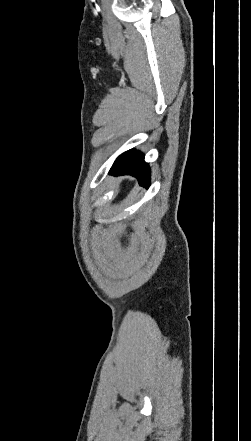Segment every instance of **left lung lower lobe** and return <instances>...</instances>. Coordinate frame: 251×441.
Wrapping results in <instances>:
<instances>
[{"instance_id":"1","label":"left lung lower lobe","mask_w":251,"mask_h":441,"mask_svg":"<svg viewBox=\"0 0 251 441\" xmlns=\"http://www.w3.org/2000/svg\"><path fill=\"white\" fill-rule=\"evenodd\" d=\"M110 173L133 175L145 187H148L150 183V169L148 164L144 162V155L133 149L123 153L116 159Z\"/></svg>"}]
</instances>
